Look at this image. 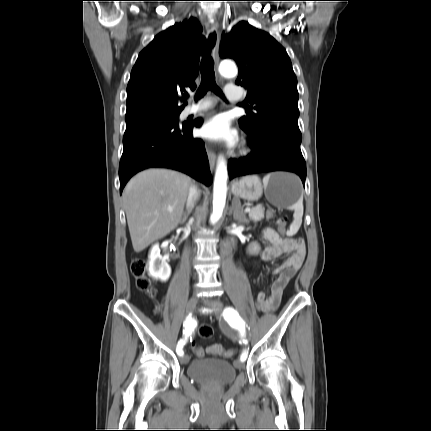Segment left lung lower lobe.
Wrapping results in <instances>:
<instances>
[{"instance_id": "0a47b994", "label": "left lung lower lobe", "mask_w": 431, "mask_h": 431, "mask_svg": "<svg viewBox=\"0 0 431 431\" xmlns=\"http://www.w3.org/2000/svg\"><path fill=\"white\" fill-rule=\"evenodd\" d=\"M301 138L300 130L267 126L260 135L249 138L252 152L248 156L230 159V179L260 172L289 171L298 174L305 185L306 164L300 150Z\"/></svg>"}]
</instances>
